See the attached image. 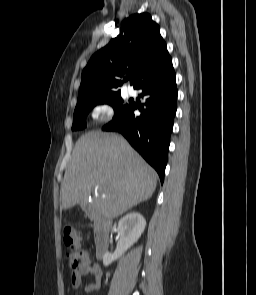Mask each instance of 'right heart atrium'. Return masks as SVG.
<instances>
[{
    "label": "right heart atrium",
    "mask_w": 256,
    "mask_h": 295,
    "mask_svg": "<svg viewBox=\"0 0 256 295\" xmlns=\"http://www.w3.org/2000/svg\"><path fill=\"white\" fill-rule=\"evenodd\" d=\"M93 113L99 119H111L114 115V110L108 103H99L94 107Z\"/></svg>",
    "instance_id": "d8ad5b80"
}]
</instances>
